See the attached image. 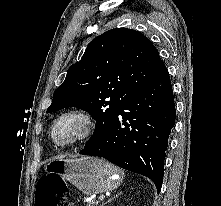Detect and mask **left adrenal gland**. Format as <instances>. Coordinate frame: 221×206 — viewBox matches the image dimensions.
<instances>
[{
    "label": "left adrenal gland",
    "mask_w": 221,
    "mask_h": 206,
    "mask_svg": "<svg viewBox=\"0 0 221 206\" xmlns=\"http://www.w3.org/2000/svg\"><path fill=\"white\" fill-rule=\"evenodd\" d=\"M122 193H117L114 197L108 199V201H106L105 203H103L101 206H105L106 204L110 203L112 200H114L115 198L119 197Z\"/></svg>",
    "instance_id": "a2214340"
}]
</instances>
